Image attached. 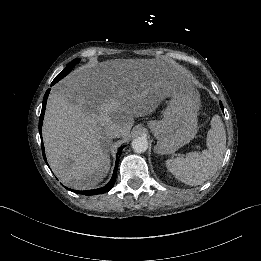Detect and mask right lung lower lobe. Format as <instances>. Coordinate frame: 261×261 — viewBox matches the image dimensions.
Returning a JSON list of instances; mask_svg holds the SVG:
<instances>
[{"label": "right lung lower lobe", "mask_w": 261, "mask_h": 261, "mask_svg": "<svg viewBox=\"0 0 261 261\" xmlns=\"http://www.w3.org/2000/svg\"><path fill=\"white\" fill-rule=\"evenodd\" d=\"M52 85H54V84L52 83L51 86ZM49 92H50V89H48L46 91V93L44 95V98H43L42 110H41V115H40V118H39V133H40V136H42V131H41L42 130V123H43L45 107H46V103H47V98H48ZM41 146H42L43 157L46 160L45 151H44V145H43L42 140H41ZM123 148H124V146H122L119 149V151L117 152L116 161H115V167H114L112 178L105 186L97 188V189L85 190V191L71 190V189H68V188L67 189L71 190V191H74L75 193H79V194L87 195V196L98 195V194H103V193L108 192L115 184L116 177H117V168H118V163H119V157L121 155V152H122Z\"/></svg>", "instance_id": "1"}]
</instances>
